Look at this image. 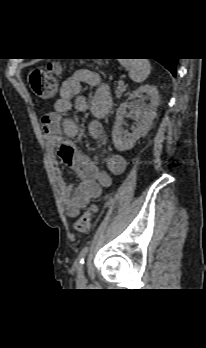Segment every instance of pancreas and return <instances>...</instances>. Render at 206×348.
I'll return each mask as SVG.
<instances>
[{
	"label": "pancreas",
	"instance_id": "cf45deb5",
	"mask_svg": "<svg viewBox=\"0 0 206 348\" xmlns=\"http://www.w3.org/2000/svg\"><path fill=\"white\" fill-rule=\"evenodd\" d=\"M127 86L123 84H119L115 89V95L117 98H120L122 96V94L126 91Z\"/></svg>",
	"mask_w": 206,
	"mask_h": 348
}]
</instances>
